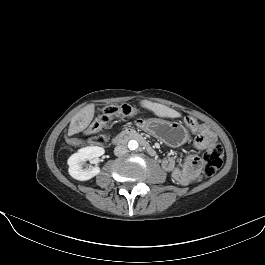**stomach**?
<instances>
[{
  "label": "stomach",
  "instance_id": "0dacf381",
  "mask_svg": "<svg viewBox=\"0 0 265 265\" xmlns=\"http://www.w3.org/2000/svg\"><path fill=\"white\" fill-rule=\"evenodd\" d=\"M142 128L171 147H179L189 139L187 129L178 122L151 118L142 122Z\"/></svg>",
  "mask_w": 265,
  "mask_h": 265
}]
</instances>
